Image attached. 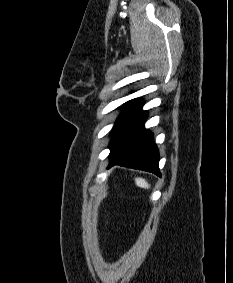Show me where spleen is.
I'll list each match as a JSON object with an SVG mask.
<instances>
[{
    "mask_svg": "<svg viewBox=\"0 0 233 283\" xmlns=\"http://www.w3.org/2000/svg\"><path fill=\"white\" fill-rule=\"evenodd\" d=\"M135 183L138 187L140 188H149L150 185L148 184V182H146V180L142 179V178H135Z\"/></svg>",
    "mask_w": 233,
    "mask_h": 283,
    "instance_id": "3e777b00",
    "label": "spleen"
}]
</instances>
